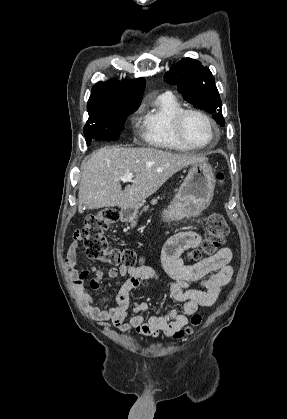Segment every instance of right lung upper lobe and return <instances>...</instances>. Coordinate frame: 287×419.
<instances>
[{"mask_svg": "<svg viewBox=\"0 0 287 419\" xmlns=\"http://www.w3.org/2000/svg\"><path fill=\"white\" fill-rule=\"evenodd\" d=\"M145 89V79L98 82L93 86L87 103L88 113L123 106H139Z\"/></svg>", "mask_w": 287, "mask_h": 419, "instance_id": "right-lung-upper-lobe-1", "label": "right lung upper lobe"}]
</instances>
